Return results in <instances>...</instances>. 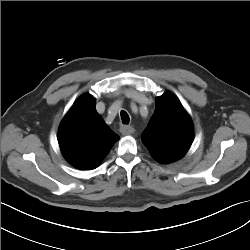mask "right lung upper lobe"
Here are the masks:
<instances>
[{
  "instance_id": "right-lung-upper-lobe-1",
  "label": "right lung upper lobe",
  "mask_w": 250,
  "mask_h": 250,
  "mask_svg": "<svg viewBox=\"0 0 250 250\" xmlns=\"http://www.w3.org/2000/svg\"><path fill=\"white\" fill-rule=\"evenodd\" d=\"M90 95H82L63 119L58 142L64 157L76 168L94 169L119 136L104 123Z\"/></svg>"
}]
</instances>
